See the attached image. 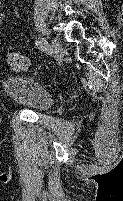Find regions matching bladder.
<instances>
[{
	"mask_svg": "<svg viewBox=\"0 0 123 201\" xmlns=\"http://www.w3.org/2000/svg\"><path fill=\"white\" fill-rule=\"evenodd\" d=\"M4 89L15 105L35 113H45L52 107L53 100L50 94L31 77L8 76L4 81Z\"/></svg>",
	"mask_w": 123,
	"mask_h": 201,
	"instance_id": "31cf9c89",
	"label": "bladder"
}]
</instances>
